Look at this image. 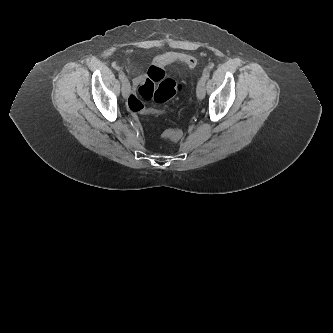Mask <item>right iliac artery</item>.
<instances>
[{
    "label": "right iliac artery",
    "instance_id": "82829eb1",
    "mask_svg": "<svg viewBox=\"0 0 333 333\" xmlns=\"http://www.w3.org/2000/svg\"><path fill=\"white\" fill-rule=\"evenodd\" d=\"M119 79L121 80L122 84L127 82L126 76L122 71L119 72Z\"/></svg>",
    "mask_w": 333,
    "mask_h": 333
}]
</instances>
